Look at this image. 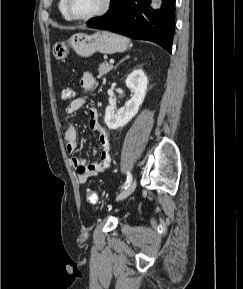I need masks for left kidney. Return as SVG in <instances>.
Returning a JSON list of instances; mask_svg holds the SVG:
<instances>
[{"instance_id":"left-kidney-1","label":"left kidney","mask_w":243,"mask_h":289,"mask_svg":"<svg viewBox=\"0 0 243 289\" xmlns=\"http://www.w3.org/2000/svg\"><path fill=\"white\" fill-rule=\"evenodd\" d=\"M125 83L134 94L122 108L117 110L115 105L106 108L104 120L109 129L125 126L138 113L144 101L148 79L143 70H134L128 75Z\"/></svg>"}]
</instances>
